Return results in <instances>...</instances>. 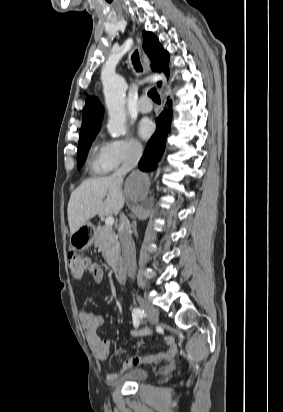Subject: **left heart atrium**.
<instances>
[{
	"label": "left heart atrium",
	"mask_w": 283,
	"mask_h": 412,
	"mask_svg": "<svg viewBox=\"0 0 283 412\" xmlns=\"http://www.w3.org/2000/svg\"><path fill=\"white\" fill-rule=\"evenodd\" d=\"M154 131V126L149 120H142L138 127V132L141 138L148 139Z\"/></svg>",
	"instance_id": "obj_1"
}]
</instances>
